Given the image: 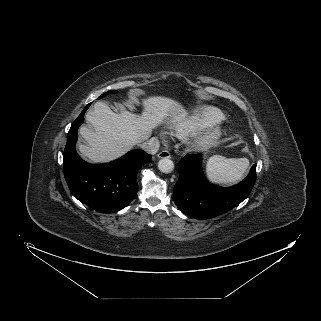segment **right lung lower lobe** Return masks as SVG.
I'll return each mask as SVG.
<instances>
[{
	"label": "right lung lower lobe",
	"instance_id": "obj_1",
	"mask_svg": "<svg viewBox=\"0 0 321 321\" xmlns=\"http://www.w3.org/2000/svg\"><path fill=\"white\" fill-rule=\"evenodd\" d=\"M88 104L71 125L63 154L64 176L71 193L82 203L103 213H114L126 207L138 191L137 172L151 155L132 150L107 164H90L75 149L78 127L84 121Z\"/></svg>",
	"mask_w": 321,
	"mask_h": 321
}]
</instances>
